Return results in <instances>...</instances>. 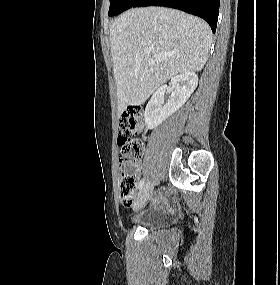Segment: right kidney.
I'll use <instances>...</instances> for the list:
<instances>
[{"mask_svg":"<svg viewBox=\"0 0 280 285\" xmlns=\"http://www.w3.org/2000/svg\"><path fill=\"white\" fill-rule=\"evenodd\" d=\"M171 85L173 91L166 105L162 107L166 86L159 88L148 102L144 113L148 129L156 128L184 105L198 85V76L193 71H185L174 76Z\"/></svg>","mask_w":280,"mask_h":285,"instance_id":"ca27d5eb","label":"right kidney"}]
</instances>
